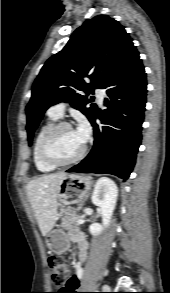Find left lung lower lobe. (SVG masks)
Returning <instances> with one entry per match:
<instances>
[{"label":"left lung lower lobe","instance_id":"1","mask_svg":"<svg viewBox=\"0 0 170 293\" xmlns=\"http://www.w3.org/2000/svg\"><path fill=\"white\" fill-rule=\"evenodd\" d=\"M108 98L103 113L91 121L94 145L87 157L67 172L108 173L126 180L141 144L147 82L139 52L133 45L103 86ZM99 118L104 126L95 121Z\"/></svg>","mask_w":170,"mask_h":293}]
</instances>
